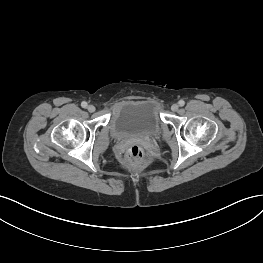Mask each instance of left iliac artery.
<instances>
[{
    "mask_svg": "<svg viewBox=\"0 0 263 263\" xmlns=\"http://www.w3.org/2000/svg\"><path fill=\"white\" fill-rule=\"evenodd\" d=\"M178 104H179L180 106H184V105H185V102H184V100H180V101L178 102Z\"/></svg>",
    "mask_w": 263,
    "mask_h": 263,
    "instance_id": "1",
    "label": "left iliac artery"
}]
</instances>
